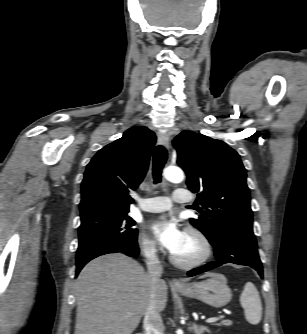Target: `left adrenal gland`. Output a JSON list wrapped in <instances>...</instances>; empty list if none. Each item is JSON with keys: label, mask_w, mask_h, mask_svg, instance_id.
I'll list each match as a JSON object with an SVG mask.
<instances>
[{"label": "left adrenal gland", "mask_w": 307, "mask_h": 334, "mask_svg": "<svg viewBox=\"0 0 307 334\" xmlns=\"http://www.w3.org/2000/svg\"><path fill=\"white\" fill-rule=\"evenodd\" d=\"M192 329L194 330L195 334H203L204 332L210 333V330L207 326H198L195 323H193Z\"/></svg>", "instance_id": "1"}]
</instances>
